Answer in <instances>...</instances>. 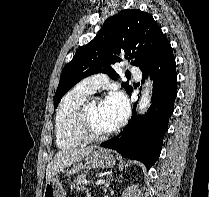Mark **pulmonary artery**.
Here are the masks:
<instances>
[{
	"mask_svg": "<svg viewBox=\"0 0 209 197\" xmlns=\"http://www.w3.org/2000/svg\"><path fill=\"white\" fill-rule=\"evenodd\" d=\"M129 72L136 78L141 77V70L136 66H130ZM108 82V78L105 74L99 73L91 75L82 80L79 85L91 93L96 92L101 86Z\"/></svg>",
	"mask_w": 209,
	"mask_h": 197,
	"instance_id": "obj_1",
	"label": "pulmonary artery"
}]
</instances>
